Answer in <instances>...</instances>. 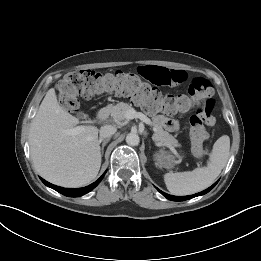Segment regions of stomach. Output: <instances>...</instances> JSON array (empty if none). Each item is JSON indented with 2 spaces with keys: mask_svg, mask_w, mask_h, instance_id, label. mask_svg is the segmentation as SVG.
<instances>
[{
  "mask_svg": "<svg viewBox=\"0 0 261 261\" xmlns=\"http://www.w3.org/2000/svg\"><path fill=\"white\" fill-rule=\"evenodd\" d=\"M178 158L179 157L172 155L171 153L164 150H160L154 155L155 164L159 168L173 167L175 164H177Z\"/></svg>",
  "mask_w": 261,
  "mask_h": 261,
  "instance_id": "1",
  "label": "stomach"
}]
</instances>
